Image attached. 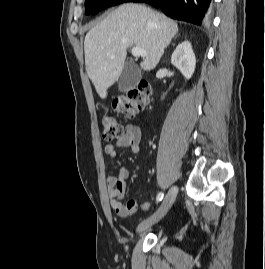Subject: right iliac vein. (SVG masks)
Returning a JSON list of instances; mask_svg holds the SVG:
<instances>
[{
  "mask_svg": "<svg viewBox=\"0 0 265 269\" xmlns=\"http://www.w3.org/2000/svg\"><path fill=\"white\" fill-rule=\"evenodd\" d=\"M177 191L178 190L176 186H173L169 190V192L167 193L159 209L151 217L143 221L138 226L137 228L138 232H141L150 228L152 225L156 224L164 217V215L168 212V210L171 208L172 204L174 203L176 195H177Z\"/></svg>",
  "mask_w": 265,
  "mask_h": 269,
  "instance_id": "63e3f726",
  "label": "right iliac vein"
}]
</instances>
